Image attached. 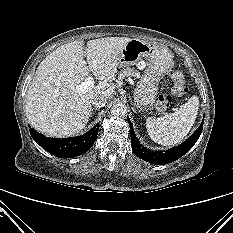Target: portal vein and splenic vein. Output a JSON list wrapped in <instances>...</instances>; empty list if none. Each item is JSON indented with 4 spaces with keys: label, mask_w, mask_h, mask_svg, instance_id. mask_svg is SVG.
Here are the masks:
<instances>
[{
    "label": "portal vein and splenic vein",
    "mask_w": 233,
    "mask_h": 233,
    "mask_svg": "<svg viewBox=\"0 0 233 233\" xmlns=\"http://www.w3.org/2000/svg\"><path fill=\"white\" fill-rule=\"evenodd\" d=\"M94 87V78L89 76L84 82L76 86V90L80 93L87 92Z\"/></svg>",
    "instance_id": "obj_1"
}]
</instances>
